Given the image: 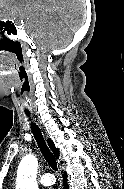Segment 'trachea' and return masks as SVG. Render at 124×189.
<instances>
[{"instance_id":"trachea-1","label":"trachea","mask_w":124,"mask_h":189,"mask_svg":"<svg viewBox=\"0 0 124 189\" xmlns=\"http://www.w3.org/2000/svg\"><path fill=\"white\" fill-rule=\"evenodd\" d=\"M26 115L28 117L30 116L29 113H26ZM29 121H30V118H29ZM30 125H31V130L34 135V138H35V140L38 144V147L40 148V151H41L42 155L44 156L45 160L47 161V163L50 165V167L53 170H55V171L58 170L56 159H55L54 155L51 153V151L49 150V148L47 147L41 131L32 121H31Z\"/></svg>"}]
</instances>
